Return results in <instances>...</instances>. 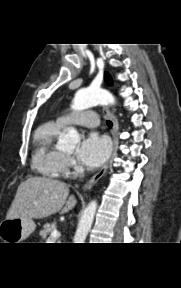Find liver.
Instances as JSON below:
<instances>
[{
	"mask_svg": "<svg viewBox=\"0 0 181 288\" xmlns=\"http://www.w3.org/2000/svg\"><path fill=\"white\" fill-rule=\"evenodd\" d=\"M66 183L45 177H29L16 192L6 219H43L54 213L64 214L77 203L74 195L69 196Z\"/></svg>",
	"mask_w": 181,
	"mask_h": 288,
	"instance_id": "obj_1",
	"label": "liver"
}]
</instances>
